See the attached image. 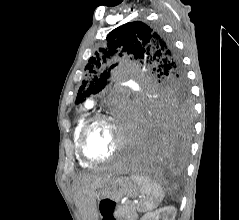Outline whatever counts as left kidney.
Here are the masks:
<instances>
[{"label":"left kidney","instance_id":"left-kidney-1","mask_svg":"<svg viewBox=\"0 0 239 220\" xmlns=\"http://www.w3.org/2000/svg\"><path fill=\"white\" fill-rule=\"evenodd\" d=\"M176 213L175 207L167 206L146 213L140 220H175Z\"/></svg>","mask_w":239,"mask_h":220}]
</instances>
